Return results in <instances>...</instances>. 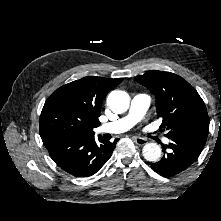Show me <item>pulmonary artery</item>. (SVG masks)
I'll return each mask as SVG.
<instances>
[{
	"mask_svg": "<svg viewBox=\"0 0 221 221\" xmlns=\"http://www.w3.org/2000/svg\"><path fill=\"white\" fill-rule=\"evenodd\" d=\"M151 103V98L147 94H136L133 96L128 113L110 123L103 124L99 127L101 133H123L131 129L146 114ZM165 142H168L165 139Z\"/></svg>",
	"mask_w": 221,
	"mask_h": 221,
	"instance_id": "e3ab8cb5",
	"label": "pulmonary artery"
}]
</instances>
